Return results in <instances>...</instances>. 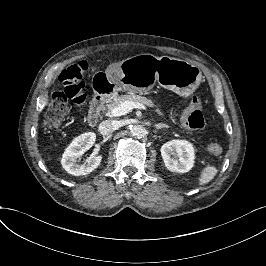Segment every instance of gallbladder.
Wrapping results in <instances>:
<instances>
[{
	"mask_svg": "<svg viewBox=\"0 0 266 266\" xmlns=\"http://www.w3.org/2000/svg\"><path fill=\"white\" fill-rule=\"evenodd\" d=\"M106 73L108 75H113L115 77H118L121 74V71L114 67L113 64H111L107 69Z\"/></svg>",
	"mask_w": 266,
	"mask_h": 266,
	"instance_id": "obj_1",
	"label": "gallbladder"
}]
</instances>
